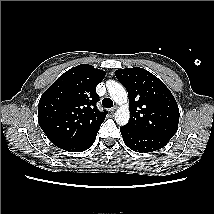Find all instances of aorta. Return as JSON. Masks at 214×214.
<instances>
[{
	"mask_svg": "<svg viewBox=\"0 0 214 214\" xmlns=\"http://www.w3.org/2000/svg\"><path fill=\"white\" fill-rule=\"evenodd\" d=\"M106 86L111 99L120 105L115 112V121L120 126H124L130 118L127 92L120 83L114 80L107 81Z\"/></svg>",
	"mask_w": 214,
	"mask_h": 214,
	"instance_id": "obj_1",
	"label": "aorta"
}]
</instances>
